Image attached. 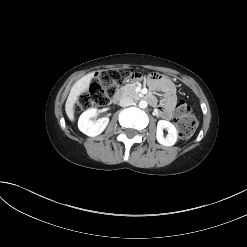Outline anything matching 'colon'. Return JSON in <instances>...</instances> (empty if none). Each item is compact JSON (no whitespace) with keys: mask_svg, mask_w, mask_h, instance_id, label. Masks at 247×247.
Returning <instances> with one entry per match:
<instances>
[{"mask_svg":"<svg viewBox=\"0 0 247 247\" xmlns=\"http://www.w3.org/2000/svg\"><path fill=\"white\" fill-rule=\"evenodd\" d=\"M130 70L115 68L98 72L89 89L79 95L75 110L81 111L90 107L107 106L115 95L116 86L128 80L126 74ZM174 120L181 138H189L193 135L197 127V121L186 102L182 100L178 102Z\"/></svg>","mask_w":247,"mask_h":247,"instance_id":"5ec220e1","label":"colon"}]
</instances>
